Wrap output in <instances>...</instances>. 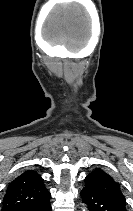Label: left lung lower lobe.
<instances>
[{
	"label": "left lung lower lobe",
	"mask_w": 133,
	"mask_h": 211,
	"mask_svg": "<svg viewBox=\"0 0 133 211\" xmlns=\"http://www.w3.org/2000/svg\"><path fill=\"white\" fill-rule=\"evenodd\" d=\"M80 195L89 211H126L125 201L84 187Z\"/></svg>",
	"instance_id": "1"
}]
</instances>
